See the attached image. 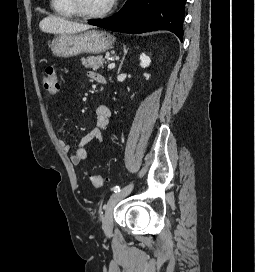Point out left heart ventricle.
Segmentation results:
<instances>
[{"mask_svg":"<svg viewBox=\"0 0 255 272\" xmlns=\"http://www.w3.org/2000/svg\"><path fill=\"white\" fill-rule=\"evenodd\" d=\"M111 0H82L83 7L89 12H101L105 10Z\"/></svg>","mask_w":255,"mask_h":272,"instance_id":"1","label":"left heart ventricle"}]
</instances>
